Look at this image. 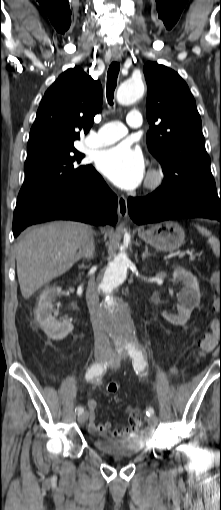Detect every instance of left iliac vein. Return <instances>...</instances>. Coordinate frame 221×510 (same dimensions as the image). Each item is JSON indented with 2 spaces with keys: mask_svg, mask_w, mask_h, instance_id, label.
I'll list each match as a JSON object with an SVG mask.
<instances>
[{
  "mask_svg": "<svg viewBox=\"0 0 221 510\" xmlns=\"http://www.w3.org/2000/svg\"><path fill=\"white\" fill-rule=\"evenodd\" d=\"M120 366V359L111 357V367L112 368H118ZM148 424L150 426H156L158 423V419L156 416L152 415L147 418Z\"/></svg>",
  "mask_w": 221,
  "mask_h": 510,
  "instance_id": "obj_1",
  "label": "left iliac vein"
}]
</instances>
